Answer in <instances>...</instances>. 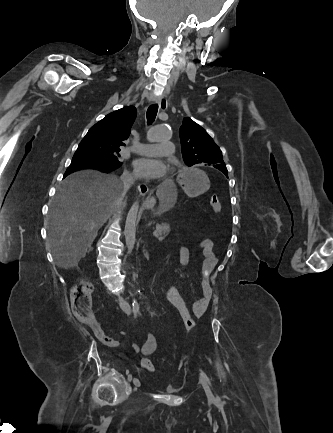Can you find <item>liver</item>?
<instances>
[{
  "label": "liver",
  "instance_id": "1",
  "mask_svg": "<svg viewBox=\"0 0 333 433\" xmlns=\"http://www.w3.org/2000/svg\"><path fill=\"white\" fill-rule=\"evenodd\" d=\"M153 216L170 210L178 195L175 183H160ZM122 184L111 174L87 169L66 177L50 202L48 244L61 268L77 267L98 230L122 203ZM172 201V202H169Z\"/></svg>",
  "mask_w": 333,
  "mask_h": 433
}]
</instances>
